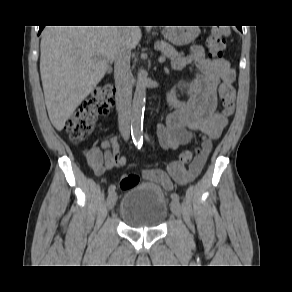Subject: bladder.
Here are the masks:
<instances>
[{
	"label": "bladder",
	"instance_id": "31cf9c89",
	"mask_svg": "<svg viewBox=\"0 0 292 292\" xmlns=\"http://www.w3.org/2000/svg\"><path fill=\"white\" fill-rule=\"evenodd\" d=\"M168 201L165 192L157 185L143 183L125 191L119 216L130 228L153 229L166 219Z\"/></svg>",
	"mask_w": 292,
	"mask_h": 292
}]
</instances>
